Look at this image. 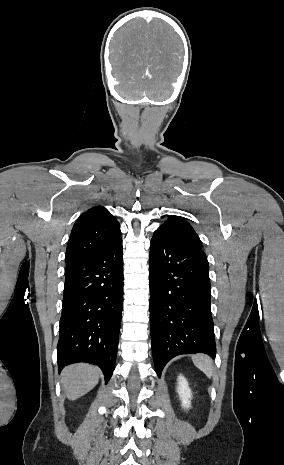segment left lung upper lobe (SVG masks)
I'll return each instance as SVG.
<instances>
[{
	"label": "left lung upper lobe",
	"instance_id": "obj_1",
	"mask_svg": "<svg viewBox=\"0 0 284 465\" xmlns=\"http://www.w3.org/2000/svg\"><path fill=\"white\" fill-rule=\"evenodd\" d=\"M157 230L168 232L187 243L201 247V241L192 226L179 216H170Z\"/></svg>",
	"mask_w": 284,
	"mask_h": 465
}]
</instances>
